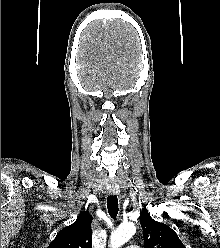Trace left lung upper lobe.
I'll list each match as a JSON object with an SVG mask.
<instances>
[{
  "instance_id": "1",
  "label": "left lung upper lobe",
  "mask_w": 220,
  "mask_h": 248,
  "mask_svg": "<svg viewBox=\"0 0 220 248\" xmlns=\"http://www.w3.org/2000/svg\"><path fill=\"white\" fill-rule=\"evenodd\" d=\"M140 224L145 248H185L174 230L153 220L146 209L140 213Z\"/></svg>"
}]
</instances>
